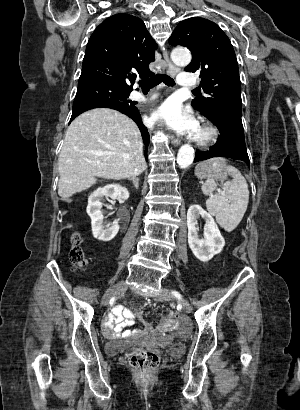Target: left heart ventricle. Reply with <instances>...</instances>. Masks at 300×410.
Here are the masks:
<instances>
[{
    "instance_id": "b2bd125f",
    "label": "left heart ventricle",
    "mask_w": 300,
    "mask_h": 410,
    "mask_svg": "<svg viewBox=\"0 0 300 410\" xmlns=\"http://www.w3.org/2000/svg\"><path fill=\"white\" fill-rule=\"evenodd\" d=\"M200 134V132H199V130L197 131V134H196V136H198Z\"/></svg>"
}]
</instances>
